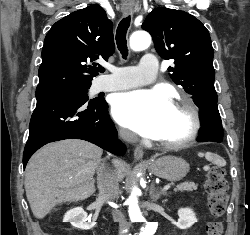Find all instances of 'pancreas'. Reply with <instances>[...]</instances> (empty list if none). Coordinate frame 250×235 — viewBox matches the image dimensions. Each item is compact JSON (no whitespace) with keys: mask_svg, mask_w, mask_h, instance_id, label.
Masks as SVG:
<instances>
[{"mask_svg":"<svg viewBox=\"0 0 250 235\" xmlns=\"http://www.w3.org/2000/svg\"><path fill=\"white\" fill-rule=\"evenodd\" d=\"M197 184L193 183V182H186V183H183V184H180V185H177L175 188H174V191L177 192V191H193V190H197Z\"/></svg>","mask_w":250,"mask_h":235,"instance_id":"1","label":"pancreas"}]
</instances>
